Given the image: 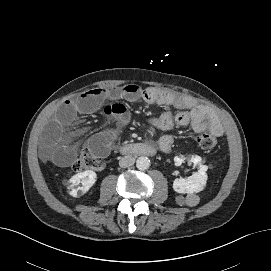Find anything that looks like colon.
Segmentation results:
<instances>
[{
	"label": "colon",
	"mask_w": 271,
	"mask_h": 271,
	"mask_svg": "<svg viewBox=\"0 0 271 271\" xmlns=\"http://www.w3.org/2000/svg\"><path fill=\"white\" fill-rule=\"evenodd\" d=\"M196 142L203 150H211L217 145V138L209 132L197 135ZM104 163L100 157L93 154L90 150H83L79 157L73 162L72 169L76 172L83 170H101Z\"/></svg>",
	"instance_id": "obj_1"
}]
</instances>
